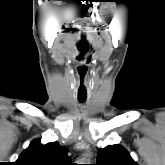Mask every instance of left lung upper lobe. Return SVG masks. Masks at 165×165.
Segmentation results:
<instances>
[{"label": "left lung upper lobe", "mask_w": 165, "mask_h": 165, "mask_svg": "<svg viewBox=\"0 0 165 165\" xmlns=\"http://www.w3.org/2000/svg\"><path fill=\"white\" fill-rule=\"evenodd\" d=\"M96 165H137L130 154L119 145H110L100 150Z\"/></svg>", "instance_id": "left-lung-upper-lobe-1"}]
</instances>
